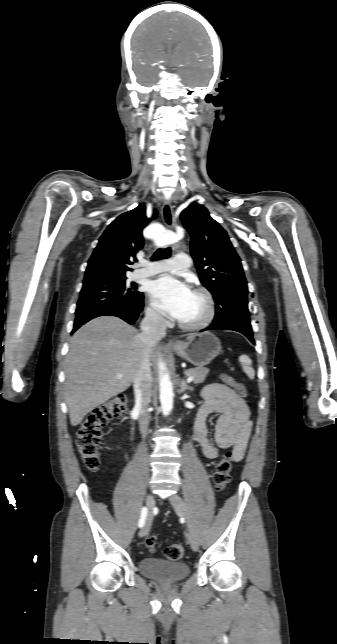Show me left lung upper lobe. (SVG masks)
<instances>
[{
  "label": "left lung upper lobe",
  "instance_id": "5c2ea615",
  "mask_svg": "<svg viewBox=\"0 0 337 644\" xmlns=\"http://www.w3.org/2000/svg\"><path fill=\"white\" fill-rule=\"evenodd\" d=\"M181 221L191 236V255L200 281L212 293L216 303L213 323L231 325L252 333L247 282L241 260L227 232L204 206L197 203L183 210Z\"/></svg>",
  "mask_w": 337,
  "mask_h": 644
}]
</instances>
